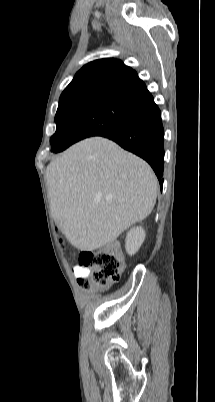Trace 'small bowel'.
<instances>
[{"mask_svg": "<svg viewBox=\"0 0 215 402\" xmlns=\"http://www.w3.org/2000/svg\"><path fill=\"white\" fill-rule=\"evenodd\" d=\"M73 274L77 279L85 278L89 274V269L77 265L73 268Z\"/></svg>", "mask_w": 215, "mask_h": 402, "instance_id": "c3829d8e", "label": "small bowel"}]
</instances>
